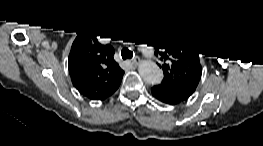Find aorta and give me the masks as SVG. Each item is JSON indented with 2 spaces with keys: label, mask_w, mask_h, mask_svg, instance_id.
<instances>
[{
  "label": "aorta",
  "mask_w": 263,
  "mask_h": 146,
  "mask_svg": "<svg viewBox=\"0 0 263 146\" xmlns=\"http://www.w3.org/2000/svg\"><path fill=\"white\" fill-rule=\"evenodd\" d=\"M139 74L149 84H157L162 80V72L152 61H143L138 67Z\"/></svg>",
  "instance_id": "762f6f07"
}]
</instances>
